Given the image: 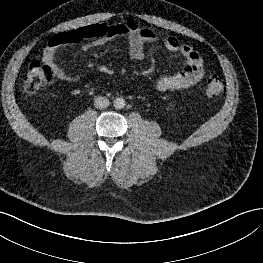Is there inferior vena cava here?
Instances as JSON below:
<instances>
[{"mask_svg": "<svg viewBox=\"0 0 263 263\" xmlns=\"http://www.w3.org/2000/svg\"><path fill=\"white\" fill-rule=\"evenodd\" d=\"M110 102L106 97L99 96L94 101V106L98 109H104L109 106Z\"/></svg>", "mask_w": 263, "mask_h": 263, "instance_id": "obj_1", "label": "inferior vena cava"}]
</instances>
